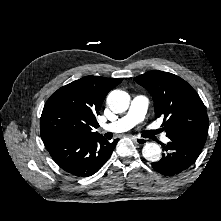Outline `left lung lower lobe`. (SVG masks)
<instances>
[{
  "instance_id": "0a47b994",
  "label": "left lung lower lobe",
  "mask_w": 221,
  "mask_h": 221,
  "mask_svg": "<svg viewBox=\"0 0 221 221\" xmlns=\"http://www.w3.org/2000/svg\"><path fill=\"white\" fill-rule=\"evenodd\" d=\"M207 133H195L170 138L167 145L162 144L167 154L152 167L165 176H174L187 170L200 155L206 142Z\"/></svg>"
}]
</instances>
